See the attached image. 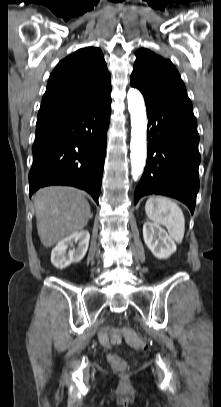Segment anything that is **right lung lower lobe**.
Wrapping results in <instances>:
<instances>
[{
	"label": "right lung lower lobe",
	"instance_id": "right-lung-lower-lobe-1",
	"mask_svg": "<svg viewBox=\"0 0 221 407\" xmlns=\"http://www.w3.org/2000/svg\"><path fill=\"white\" fill-rule=\"evenodd\" d=\"M110 104L109 96L87 108L37 121L30 196L40 187L69 185L89 192L98 203Z\"/></svg>",
	"mask_w": 221,
	"mask_h": 407
}]
</instances>
